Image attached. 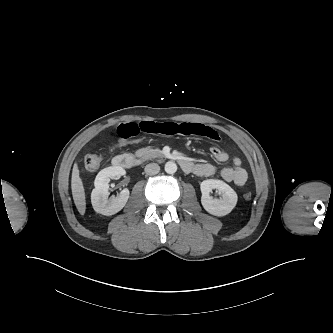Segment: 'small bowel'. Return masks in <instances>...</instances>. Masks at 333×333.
<instances>
[{
  "label": "small bowel",
  "instance_id": "small-bowel-1",
  "mask_svg": "<svg viewBox=\"0 0 333 333\" xmlns=\"http://www.w3.org/2000/svg\"><path fill=\"white\" fill-rule=\"evenodd\" d=\"M117 133L121 139H131L140 133L164 134V135H187L201 136L211 140H218V133L211 127L200 123H156L145 121L140 123H124L118 126ZM212 156L220 161L225 162L230 159L229 154L218 148L210 149ZM192 172L201 177H210L218 174L224 181L233 182L237 186H243L248 178V173L243 168L239 157H232V166L224 167L218 170L210 163H198L194 165Z\"/></svg>",
  "mask_w": 333,
  "mask_h": 333
}]
</instances>
